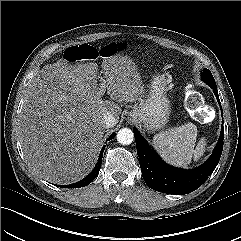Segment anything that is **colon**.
<instances>
[{"label":"colon","mask_w":241,"mask_h":241,"mask_svg":"<svg viewBox=\"0 0 241 241\" xmlns=\"http://www.w3.org/2000/svg\"><path fill=\"white\" fill-rule=\"evenodd\" d=\"M120 50L118 44L112 43L99 49L90 45H80L68 48L64 58L67 61L94 60L98 57H107ZM186 108L192 116L200 121L211 119V109L204 104L202 96L195 91H190L186 96Z\"/></svg>","instance_id":"1"}]
</instances>
